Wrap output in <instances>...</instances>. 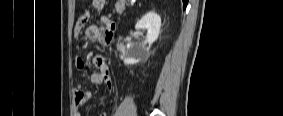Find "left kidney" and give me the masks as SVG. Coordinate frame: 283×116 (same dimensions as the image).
<instances>
[{
	"mask_svg": "<svg viewBox=\"0 0 283 116\" xmlns=\"http://www.w3.org/2000/svg\"><path fill=\"white\" fill-rule=\"evenodd\" d=\"M161 27V18L154 11L146 13L135 25L138 30H147L145 40L140 44H129L120 58L125 64H136L149 57V48L157 40ZM148 43V47L146 44Z\"/></svg>",
	"mask_w": 283,
	"mask_h": 116,
	"instance_id": "1",
	"label": "left kidney"
}]
</instances>
